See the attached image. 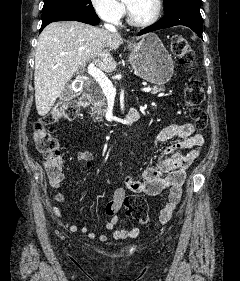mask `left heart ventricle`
<instances>
[{
    "instance_id": "left-heart-ventricle-1",
    "label": "left heart ventricle",
    "mask_w": 240,
    "mask_h": 281,
    "mask_svg": "<svg viewBox=\"0 0 240 281\" xmlns=\"http://www.w3.org/2000/svg\"><path fill=\"white\" fill-rule=\"evenodd\" d=\"M155 0H125L132 17L137 21L151 18L155 11Z\"/></svg>"
}]
</instances>
